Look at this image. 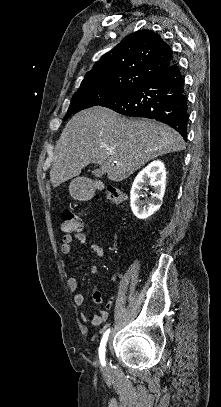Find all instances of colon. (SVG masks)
I'll return each mask as SVG.
<instances>
[{"label": "colon", "mask_w": 221, "mask_h": 407, "mask_svg": "<svg viewBox=\"0 0 221 407\" xmlns=\"http://www.w3.org/2000/svg\"><path fill=\"white\" fill-rule=\"evenodd\" d=\"M106 197L116 205L121 204L125 199L123 192L114 186H108L106 188ZM81 229L82 221L80 217L71 211H65L62 222L60 223V231L65 235H70L79 232Z\"/></svg>", "instance_id": "1"}]
</instances>
